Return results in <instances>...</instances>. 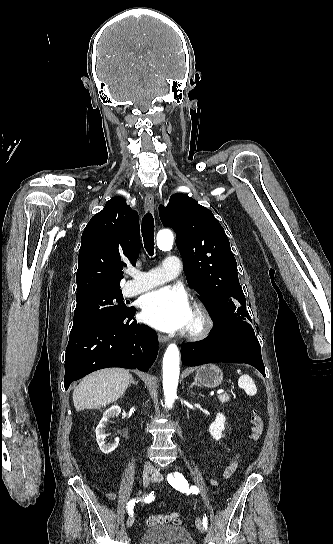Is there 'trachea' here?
<instances>
[{
  "mask_svg": "<svg viewBox=\"0 0 333 544\" xmlns=\"http://www.w3.org/2000/svg\"><path fill=\"white\" fill-rule=\"evenodd\" d=\"M141 232L145 249L152 256L154 254V219L150 212L143 217Z\"/></svg>",
  "mask_w": 333,
  "mask_h": 544,
  "instance_id": "obj_1",
  "label": "trachea"
}]
</instances>
